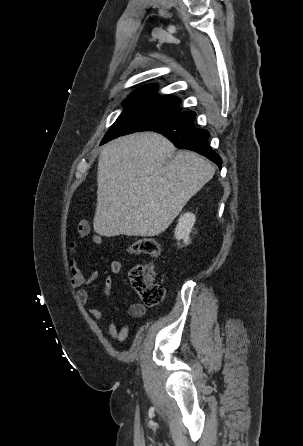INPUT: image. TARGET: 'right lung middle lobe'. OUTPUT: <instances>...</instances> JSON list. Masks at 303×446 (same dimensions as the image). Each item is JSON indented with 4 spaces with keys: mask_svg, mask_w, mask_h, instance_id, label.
<instances>
[{
    "mask_svg": "<svg viewBox=\"0 0 303 446\" xmlns=\"http://www.w3.org/2000/svg\"><path fill=\"white\" fill-rule=\"evenodd\" d=\"M180 99H173L161 110L127 107L105 134L101 144L122 135L141 131L149 124L164 116L180 111Z\"/></svg>",
    "mask_w": 303,
    "mask_h": 446,
    "instance_id": "1",
    "label": "right lung middle lobe"
}]
</instances>
